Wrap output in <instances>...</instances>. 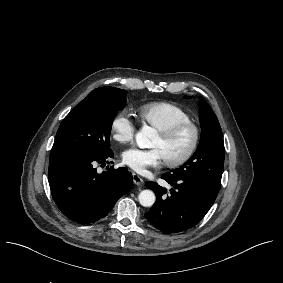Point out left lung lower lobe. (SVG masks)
<instances>
[{"mask_svg":"<svg viewBox=\"0 0 283 283\" xmlns=\"http://www.w3.org/2000/svg\"><path fill=\"white\" fill-rule=\"evenodd\" d=\"M162 179L171 184L172 189L167 193L157 183L147 182L146 186L155 192L156 202L145 216L163 232L177 233L196 225L209 211L218 194L198 178L179 179L166 173Z\"/></svg>","mask_w":283,"mask_h":283,"instance_id":"left-lung-lower-lobe-1","label":"left lung lower lobe"}]
</instances>
